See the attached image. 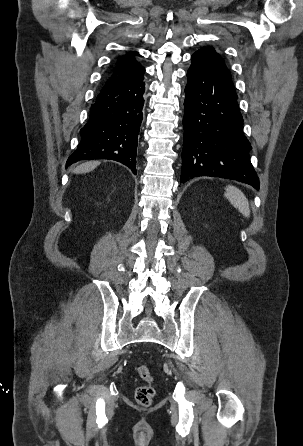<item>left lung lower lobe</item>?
I'll return each mask as SVG.
<instances>
[{
	"instance_id": "obj_1",
	"label": "left lung lower lobe",
	"mask_w": 303,
	"mask_h": 446,
	"mask_svg": "<svg viewBox=\"0 0 303 446\" xmlns=\"http://www.w3.org/2000/svg\"><path fill=\"white\" fill-rule=\"evenodd\" d=\"M184 102V140L180 182L194 177L233 179L259 190L250 162V142L231 76L205 56L192 55Z\"/></svg>"
}]
</instances>
